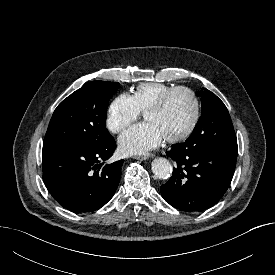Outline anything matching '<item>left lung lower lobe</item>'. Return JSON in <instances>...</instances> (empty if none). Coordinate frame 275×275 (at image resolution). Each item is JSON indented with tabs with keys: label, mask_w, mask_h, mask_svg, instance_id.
I'll list each match as a JSON object with an SVG mask.
<instances>
[{
	"label": "left lung lower lobe",
	"mask_w": 275,
	"mask_h": 275,
	"mask_svg": "<svg viewBox=\"0 0 275 275\" xmlns=\"http://www.w3.org/2000/svg\"><path fill=\"white\" fill-rule=\"evenodd\" d=\"M237 153V149L173 145L167 155L176 161L177 167L168 182L161 185L162 197L182 211L212 207L230 186Z\"/></svg>",
	"instance_id": "obj_1"
}]
</instances>
